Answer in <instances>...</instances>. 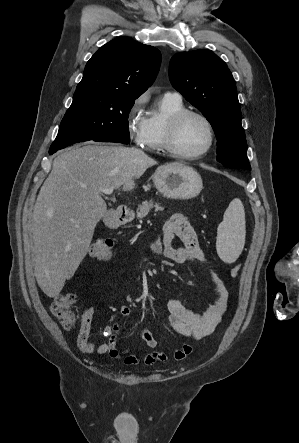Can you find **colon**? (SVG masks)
Masks as SVG:
<instances>
[{"mask_svg": "<svg viewBox=\"0 0 299 443\" xmlns=\"http://www.w3.org/2000/svg\"><path fill=\"white\" fill-rule=\"evenodd\" d=\"M113 242L109 239H98L89 249V256L95 260H108L111 257ZM241 266L235 265L231 268V275L237 277ZM77 300L75 293L69 292L57 295L52 304V313L60 320L65 329H72L78 323V316L73 310V305ZM83 327V321L81 328Z\"/></svg>", "mask_w": 299, "mask_h": 443, "instance_id": "5ec220e1", "label": "colon"}]
</instances>
